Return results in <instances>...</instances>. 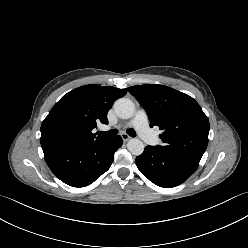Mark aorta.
I'll return each mask as SVG.
<instances>
[{"mask_svg": "<svg viewBox=\"0 0 248 248\" xmlns=\"http://www.w3.org/2000/svg\"><path fill=\"white\" fill-rule=\"evenodd\" d=\"M114 110L119 118L129 119L134 115L135 106L131 100L120 98L115 101ZM127 148L131 154L138 156L143 153L144 144L141 140L133 138L128 142Z\"/></svg>", "mask_w": 248, "mask_h": 248, "instance_id": "762f6f07", "label": "aorta"}]
</instances>
